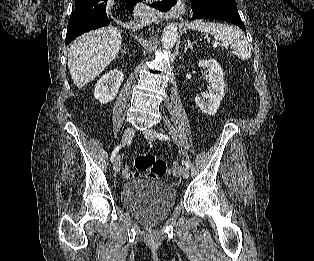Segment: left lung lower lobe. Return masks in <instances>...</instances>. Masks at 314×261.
Wrapping results in <instances>:
<instances>
[{"mask_svg":"<svg viewBox=\"0 0 314 261\" xmlns=\"http://www.w3.org/2000/svg\"><path fill=\"white\" fill-rule=\"evenodd\" d=\"M191 2L193 16L190 21L196 19L221 20L246 31L234 0H191Z\"/></svg>","mask_w":314,"mask_h":261,"instance_id":"0a47b994","label":"left lung lower lobe"}]
</instances>
